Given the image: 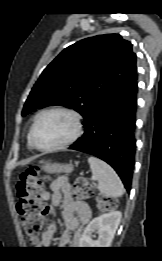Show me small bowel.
<instances>
[{
    "instance_id": "c3829d8e",
    "label": "small bowel",
    "mask_w": 162,
    "mask_h": 261,
    "mask_svg": "<svg viewBox=\"0 0 162 261\" xmlns=\"http://www.w3.org/2000/svg\"><path fill=\"white\" fill-rule=\"evenodd\" d=\"M51 192L43 195L44 200H49L53 206L62 207V219L65 231L60 237V247L70 243V232L80 231L81 227L91 219V211L88 205L82 201H75L71 196V187L66 176L54 179L50 185ZM56 225L50 224L38 242L40 247H50Z\"/></svg>"
}]
</instances>
